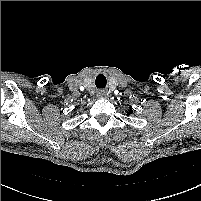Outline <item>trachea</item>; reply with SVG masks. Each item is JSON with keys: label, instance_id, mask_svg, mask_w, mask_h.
I'll use <instances>...</instances> for the list:
<instances>
[{"label": "trachea", "instance_id": "trachea-1", "mask_svg": "<svg viewBox=\"0 0 201 201\" xmlns=\"http://www.w3.org/2000/svg\"><path fill=\"white\" fill-rule=\"evenodd\" d=\"M107 80L104 75L99 74L95 80V84L97 88H105Z\"/></svg>", "mask_w": 201, "mask_h": 201}]
</instances>
